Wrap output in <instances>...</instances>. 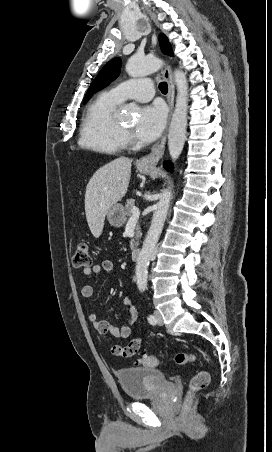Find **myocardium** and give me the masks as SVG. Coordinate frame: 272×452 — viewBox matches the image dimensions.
<instances>
[{
	"instance_id": "f54148a6",
	"label": "myocardium",
	"mask_w": 272,
	"mask_h": 452,
	"mask_svg": "<svg viewBox=\"0 0 272 452\" xmlns=\"http://www.w3.org/2000/svg\"><path fill=\"white\" fill-rule=\"evenodd\" d=\"M119 126H120V129H121V131H122V133L124 135H128L129 134V129L128 128H126L125 126H122L120 124H119Z\"/></svg>"
}]
</instances>
